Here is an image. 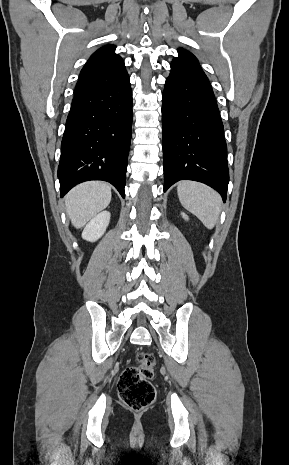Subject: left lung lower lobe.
Instances as JSON below:
<instances>
[{"label":"left lung lower lobe","mask_w":289,"mask_h":465,"mask_svg":"<svg viewBox=\"0 0 289 465\" xmlns=\"http://www.w3.org/2000/svg\"><path fill=\"white\" fill-rule=\"evenodd\" d=\"M164 191L179 180L205 183L226 201L229 182L223 123L205 73L171 68L163 92Z\"/></svg>","instance_id":"obj_1"}]
</instances>
